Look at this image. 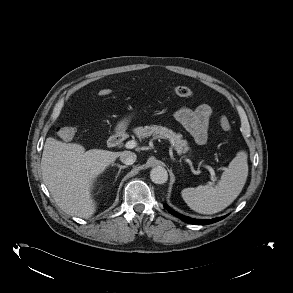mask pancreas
I'll list each match as a JSON object with an SVG mask.
<instances>
[{
  "instance_id": "obj_1",
  "label": "pancreas",
  "mask_w": 293,
  "mask_h": 293,
  "mask_svg": "<svg viewBox=\"0 0 293 293\" xmlns=\"http://www.w3.org/2000/svg\"><path fill=\"white\" fill-rule=\"evenodd\" d=\"M133 132L139 138H148L150 136L163 139L168 138L179 154L186 153L190 149L187 141L182 139L181 134L176 133L165 126L150 125L145 127H137L133 130Z\"/></svg>"
}]
</instances>
